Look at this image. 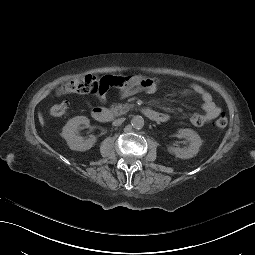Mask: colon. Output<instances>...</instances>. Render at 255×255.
<instances>
[{
	"label": "colon",
	"instance_id": "colon-1",
	"mask_svg": "<svg viewBox=\"0 0 255 255\" xmlns=\"http://www.w3.org/2000/svg\"><path fill=\"white\" fill-rule=\"evenodd\" d=\"M132 77L130 76H112L103 77L85 76L64 83L57 89V95L62 96L72 93H96L98 91H106L109 88L124 89L130 85ZM69 105L65 102L57 103L51 106L50 114L53 117H64L68 113ZM228 118L225 113H221L214 122L217 129H223L227 126Z\"/></svg>",
	"mask_w": 255,
	"mask_h": 255
}]
</instances>
